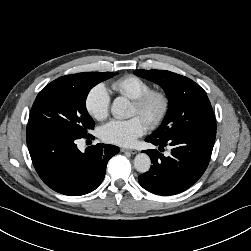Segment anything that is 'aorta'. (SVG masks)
<instances>
[{
	"label": "aorta",
	"instance_id": "aorta-1",
	"mask_svg": "<svg viewBox=\"0 0 251 251\" xmlns=\"http://www.w3.org/2000/svg\"><path fill=\"white\" fill-rule=\"evenodd\" d=\"M111 113L115 118H129L133 115L130 101L125 97H117L111 105ZM151 166L150 157L145 153H139L134 158V167L140 173H146Z\"/></svg>",
	"mask_w": 251,
	"mask_h": 251
}]
</instances>
